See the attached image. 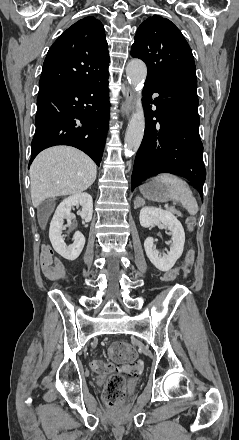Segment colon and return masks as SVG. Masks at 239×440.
<instances>
[{
	"mask_svg": "<svg viewBox=\"0 0 239 440\" xmlns=\"http://www.w3.org/2000/svg\"><path fill=\"white\" fill-rule=\"evenodd\" d=\"M191 227L194 224V218H189L187 221ZM195 252L193 249H189L185 256V261L182 267L187 268L194 262ZM181 269L174 268L168 271L164 280L166 282L173 281L179 274ZM111 358L113 363H105L103 361H95L92 364L93 369L96 372L102 374H110L104 387V396L107 405L110 408L117 407L125 397V390L122 385L123 373H140L143 369V363L136 360V353L134 348L126 341H118L111 347Z\"/></svg>",
	"mask_w": 239,
	"mask_h": 440,
	"instance_id": "1",
	"label": "colon"
}]
</instances>
